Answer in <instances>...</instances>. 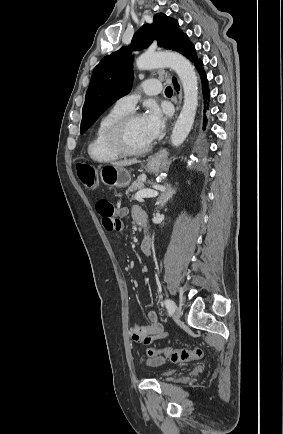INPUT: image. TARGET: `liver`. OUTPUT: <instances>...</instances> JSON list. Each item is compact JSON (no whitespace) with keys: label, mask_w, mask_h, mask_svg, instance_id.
I'll use <instances>...</instances> for the list:
<instances>
[{"label":"liver","mask_w":283,"mask_h":434,"mask_svg":"<svg viewBox=\"0 0 283 434\" xmlns=\"http://www.w3.org/2000/svg\"><path fill=\"white\" fill-rule=\"evenodd\" d=\"M139 161L136 159H131V160H124V161H118V162H113L112 165L116 166V167H124V166H130L133 164H137Z\"/></svg>","instance_id":"liver-1"}]
</instances>
